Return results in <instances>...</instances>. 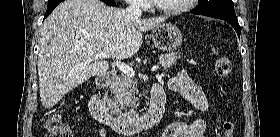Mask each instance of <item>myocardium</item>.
Here are the masks:
<instances>
[{
  "mask_svg": "<svg viewBox=\"0 0 280 137\" xmlns=\"http://www.w3.org/2000/svg\"><path fill=\"white\" fill-rule=\"evenodd\" d=\"M151 7L159 12L165 13V14H178L181 12H184L189 9V5L193 0H183L182 5L172 8H162L154 0H150Z\"/></svg>",
  "mask_w": 280,
  "mask_h": 137,
  "instance_id": "f54148a6",
  "label": "myocardium"
}]
</instances>
